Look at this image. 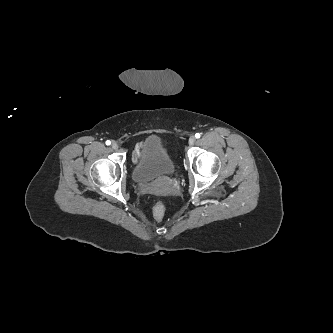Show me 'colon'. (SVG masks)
Here are the masks:
<instances>
[{"label": "colon", "mask_w": 333, "mask_h": 333, "mask_svg": "<svg viewBox=\"0 0 333 333\" xmlns=\"http://www.w3.org/2000/svg\"><path fill=\"white\" fill-rule=\"evenodd\" d=\"M165 212V207L161 202H158L153 208V216L156 220L161 221Z\"/></svg>", "instance_id": "colon-1"}]
</instances>
